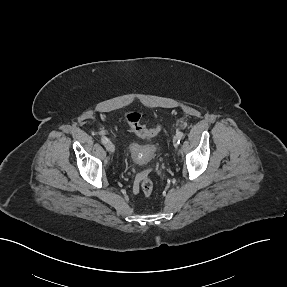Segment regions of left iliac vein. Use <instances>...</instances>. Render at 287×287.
Here are the masks:
<instances>
[{
	"label": "left iliac vein",
	"instance_id": "4c4485c4",
	"mask_svg": "<svg viewBox=\"0 0 287 287\" xmlns=\"http://www.w3.org/2000/svg\"><path fill=\"white\" fill-rule=\"evenodd\" d=\"M177 136H175L174 138H173V145L176 147L177 146Z\"/></svg>",
	"mask_w": 287,
	"mask_h": 287
}]
</instances>
